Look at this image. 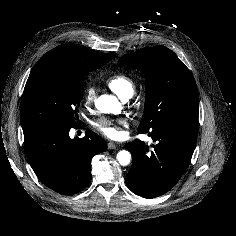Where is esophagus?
Instances as JSON below:
<instances>
[{
    "mask_svg": "<svg viewBox=\"0 0 236 236\" xmlns=\"http://www.w3.org/2000/svg\"><path fill=\"white\" fill-rule=\"evenodd\" d=\"M116 144L114 142H109L108 143V149H116Z\"/></svg>",
    "mask_w": 236,
    "mask_h": 236,
    "instance_id": "obj_1",
    "label": "esophagus"
}]
</instances>
